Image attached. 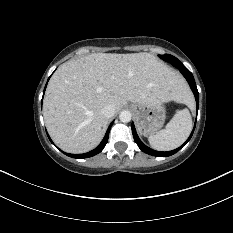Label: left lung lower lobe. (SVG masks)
<instances>
[{
    "instance_id": "0a47b994",
    "label": "left lung lower lobe",
    "mask_w": 233,
    "mask_h": 233,
    "mask_svg": "<svg viewBox=\"0 0 233 233\" xmlns=\"http://www.w3.org/2000/svg\"><path fill=\"white\" fill-rule=\"evenodd\" d=\"M174 66L177 67L180 72L182 73V75L186 78V80L188 81L194 95H195V99H196V106H197V111H198V107H199V93L196 87V83L194 80V77L192 75V73L179 61L177 63H174ZM196 125V122H195ZM194 125V128H195ZM132 133H133V137L135 142L137 143L138 147L145 153L149 154V155H153V156H157V157H167V156H171L173 154H175L176 152H178L192 137L194 129L191 133V135L189 136V138L187 139V141L179 148L172 150V151H168V152H159V151H155L149 147H147L146 145H144L141 140L139 139L134 124L132 123Z\"/></svg>"
}]
</instances>
